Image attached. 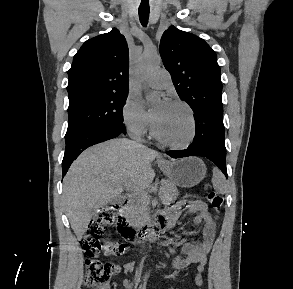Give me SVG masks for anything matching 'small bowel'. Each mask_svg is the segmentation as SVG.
<instances>
[{
  "mask_svg": "<svg viewBox=\"0 0 293 289\" xmlns=\"http://www.w3.org/2000/svg\"><path fill=\"white\" fill-rule=\"evenodd\" d=\"M194 214V224L196 226L203 225V237L199 241L185 242L181 247V255L177 256L173 261V267L180 271L185 269L190 264H196L195 283L198 287L203 284L202 273L207 263V255L210 252L216 232V223L208 212L207 205L199 200H194L189 203H177L169 208L162 216L167 222V228L172 229L182 214L183 211ZM134 263H126L124 271L129 273L134 270ZM139 289H144L140 287Z\"/></svg>",
  "mask_w": 293,
  "mask_h": 289,
  "instance_id": "1",
  "label": "small bowel"
}]
</instances>
